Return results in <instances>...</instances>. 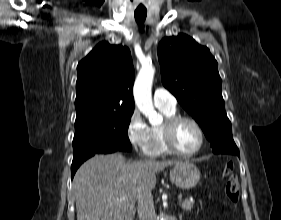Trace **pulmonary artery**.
Returning a JSON list of instances; mask_svg holds the SVG:
<instances>
[{
	"label": "pulmonary artery",
	"mask_w": 281,
	"mask_h": 220,
	"mask_svg": "<svg viewBox=\"0 0 281 220\" xmlns=\"http://www.w3.org/2000/svg\"><path fill=\"white\" fill-rule=\"evenodd\" d=\"M154 104L158 108L174 110L176 108V98L165 88H156L153 93Z\"/></svg>",
	"instance_id": "obj_1"
}]
</instances>
